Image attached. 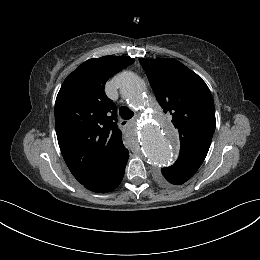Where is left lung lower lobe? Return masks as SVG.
<instances>
[{
  "mask_svg": "<svg viewBox=\"0 0 260 260\" xmlns=\"http://www.w3.org/2000/svg\"><path fill=\"white\" fill-rule=\"evenodd\" d=\"M195 172L184 169H168L163 171L159 179L164 184L181 185L188 181Z\"/></svg>",
  "mask_w": 260,
  "mask_h": 260,
  "instance_id": "obj_1",
  "label": "left lung lower lobe"
}]
</instances>
